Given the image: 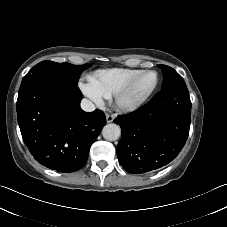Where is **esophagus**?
<instances>
[{
    "label": "esophagus",
    "instance_id": "esophagus-1",
    "mask_svg": "<svg viewBox=\"0 0 227 227\" xmlns=\"http://www.w3.org/2000/svg\"><path fill=\"white\" fill-rule=\"evenodd\" d=\"M114 115H112V114H106V121H107V123H111V122H113L114 121Z\"/></svg>",
    "mask_w": 227,
    "mask_h": 227
}]
</instances>
